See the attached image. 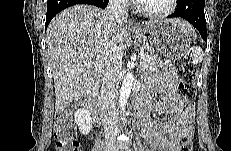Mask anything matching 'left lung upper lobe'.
Instances as JSON below:
<instances>
[{
  "instance_id": "obj_1",
  "label": "left lung upper lobe",
  "mask_w": 231,
  "mask_h": 151,
  "mask_svg": "<svg viewBox=\"0 0 231 151\" xmlns=\"http://www.w3.org/2000/svg\"><path fill=\"white\" fill-rule=\"evenodd\" d=\"M181 1H182V0H178V1H177V6L181 3Z\"/></svg>"
}]
</instances>
